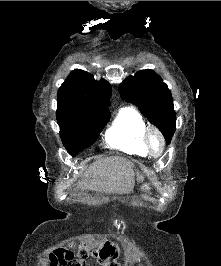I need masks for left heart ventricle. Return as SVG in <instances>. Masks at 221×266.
Masks as SVG:
<instances>
[{
	"label": "left heart ventricle",
	"instance_id": "obj_1",
	"mask_svg": "<svg viewBox=\"0 0 221 266\" xmlns=\"http://www.w3.org/2000/svg\"><path fill=\"white\" fill-rule=\"evenodd\" d=\"M153 144H154V146H155L156 148H157L158 145H159L157 140H154Z\"/></svg>",
	"mask_w": 221,
	"mask_h": 266
}]
</instances>
